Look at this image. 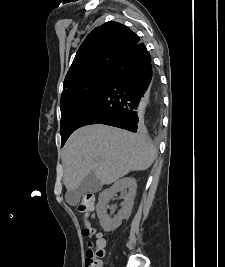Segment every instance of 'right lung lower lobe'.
Instances as JSON below:
<instances>
[{"label":"right lung lower lobe","instance_id":"1","mask_svg":"<svg viewBox=\"0 0 225 267\" xmlns=\"http://www.w3.org/2000/svg\"><path fill=\"white\" fill-rule=\"evenodd\" d=\"M157 86L151 56L144 43H138L119 57L76 129L89 124H106L136 132L139 102Z\"/></svg>","mask_w":225,"mask_h":267}]
</instances>
